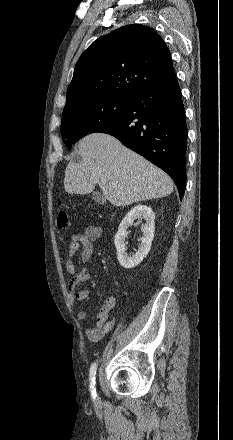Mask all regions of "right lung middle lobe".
Wrapping results in <instances>:
<instances>
[{"instance_id":"right-lung-middle-lobe-1","label":"right lung middle lobe","mask_w":233,"mask_h":440,"mask_svg":"<svg viewBox=\"0 0 233 440\" xmlns=\"http://www.w3.org/2000/svg\"><path fill=\"white\" fill-rule=\"evenodd\" d=\"M128 102L121 98H90L64 107L61 135L68 150L79 139L117 119Z\"/></svg>"}]
</instances>
